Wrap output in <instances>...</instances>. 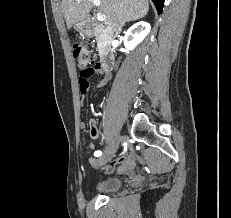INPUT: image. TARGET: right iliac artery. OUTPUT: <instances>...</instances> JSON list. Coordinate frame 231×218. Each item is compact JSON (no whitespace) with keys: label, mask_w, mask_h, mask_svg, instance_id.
<instances>
[{"label":"right iliac artery","mask_w":231,"mask_h":218,"mask_svg":"<svg viewBox=\"0 0 231 218\" xmlns=\"http://www.w3.org/2000/svg\"><path fill=\"white\" fill-rule=\"evenodd\" d=\"M94 155H95L96 157L101 156V155H102V152L98 150V151H96V152L94 153Z\"/></svg>","instance_id":"right-iliac-artery-1"}]
</instances>
